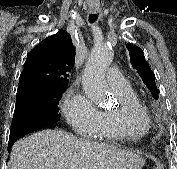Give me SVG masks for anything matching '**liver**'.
<instances>
[{
    "mask_svg": "<svg viewBox=\"0 0 177 169\" xmlns=\"http://www.w3.org/2000/svg\"><path fill=\"white\" fill-rule=\"evenodd\" d=\"M143 160L131 151L77 139L62 130H42L12 147L9 169H136Z\"/></svg>",
    "mask_w": 177,
    "mask_h": 169,
    "instance_id": "obj_1",
    "label": "liver"
}]
</instances>
